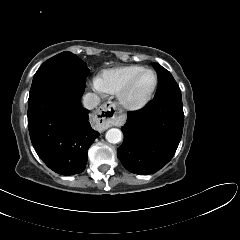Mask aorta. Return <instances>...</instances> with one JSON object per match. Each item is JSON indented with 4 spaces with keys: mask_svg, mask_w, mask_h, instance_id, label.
<instances>
[{
    "mask_svg": "<svg viewBox=\"0 0 240 240\" xmlns=\"http://www.w3.org/2000/svg\"><path fill=\"white\" fill-rule=\"evenodd\" d=\"M106 140L109 143H112V144L119 143L122 140V132H121V130H119L117 128L109 129L106 132Z\"/></svg>",
    "mask_w": 240,
    "mask_h": 240,
    "instance_id": "762f6f07",
    "label": "aorta"
}]
</instances>
